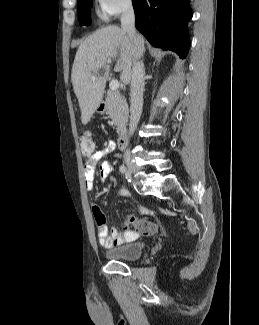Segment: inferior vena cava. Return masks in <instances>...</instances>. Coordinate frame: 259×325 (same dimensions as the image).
<instances>
[{"label": "inferior vena cava", "instance_id": "602c4592", "mask_svg": "<svg viewBox=\"0 0 259 325\" xmlns=\"http://www.w3.org/2000/svg\"><path fill=\"white\" fill-rule=\"evenodd\" d=\"M134 22L135 15L133 6L131 1L128 0L122 7L121 28L128 34V36L132 40L135 50V58L132 66L130 88V134L134 133L140 120L143 106V92L145 86V68L143 62L139 60L142 54L138 47V40Z\"/></svg>", "mask_w": 259, "mask_h": 325}]
</instances>
